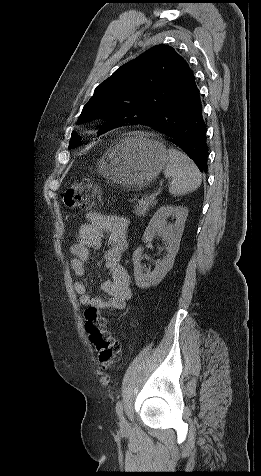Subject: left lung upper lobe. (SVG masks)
Listing matches in <instances>:
<instances>
[{"mask_svg": "<svg viewBox=\"0 0 261 476\" xmlns=\"http://www.w3.org/2000/svg\"><path fill=\"white\" fill-rule=\"evenodd\" d=\"M193 71L172 47L156 45L103 81L84 106L78 122L104 119L98 135L159 115L194 81ZM72 133L69 148L81 145Z\"/></svg>", "mask_w": 261, "mask_h": 476, "instance_id": "5c2ea615", "label": "left lung upper lobe"}]
</instances>
